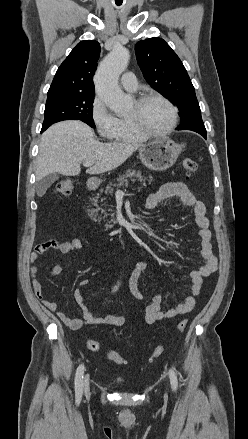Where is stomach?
Listing matches in <instances>:
<instances>
[{
    "instance_id": "0dacf381",
    "label": "stomach",
    "mask_w": 248,
    "mask_h": 439,
    "mask_svg": "<svg viewBox=\"0 0 248 439\" xmlns=\"http://www.w3.org/2000/svg\"><path fill=\"white\" fill-rule=\"evenodd\" d=\"M182 151V146L174 141L162 138L147 143L139 148L141 162L151 170L164 171L170 168ZM101 183L98 178L92 179V184L97 187Z\"/></svg>"
}]
</instances>
